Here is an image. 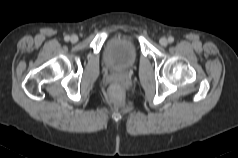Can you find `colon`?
<instances>
[{
  "instance_id": "obj_1",
  "label": "colon",
  "mask_w": 238,
  "mask_h": 158,
  "mask_svg": "<svg viewBox=\"0 0 238 158\" xmlns=\"http://www.w3.org/2000/svg\"><path fill=\"white\" fill-rule=\"evenodd\" d=\"M109 97L112 102L120 103L124 98V91L120 84L114 83L109 89Z\"/></svg>"
}]
</instances>
